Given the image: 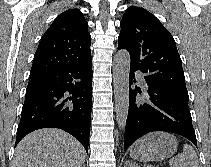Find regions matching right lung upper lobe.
Wrapping results in <instances>:
<instances>
[{
  "instance_id": "cb5924a9",
  "label": "right lung upper lobe",
  "mask_w": 211,
  "mask_h": 167,
  "mask_svg": "<svg viewBox=\"0 0 211 167\" xmlns=\"http://www.w3.org/2000/svg\"><path fill=\"white\" fill-rule=\"evenodd\" d=\"M88 23L79 9L61 13L44 33L30 71V79L91 58Z\"/></svg>"
}]
</instances>
